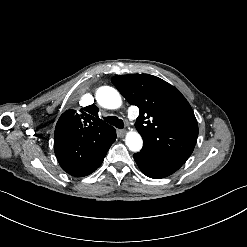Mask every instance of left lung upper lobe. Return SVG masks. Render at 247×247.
Segmentation results:
<instances>
[{"instance_id": "obj_1", "label": "left lung upper lobe", "mask_w": 247, "mask_h": 247, "mask_svg": "<svg viewBox=\"0 0 247 247\" xmlns=\"http://www.w3.org/2000/svg\"><path fill=\"white\" fill-rule=\"evenodd\" d=\"M111 81L131 105L139 107L135 126L144 145L185 163L198 137V124L185 97L149 74L114 76Z\"/></svg>"}]
</instances>
